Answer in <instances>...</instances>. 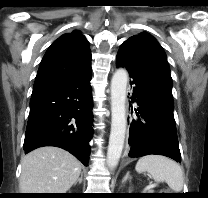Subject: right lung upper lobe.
<instances>
[{"label": "right lung upper lobe", "mask_w": 208, "mask_h": 198, "mask_svg": "<svg viewBox=\"0 0 208 198\" xmlns=\"http://www.w3.org/2000/svg\"><path fill=\"white\" fill-rule=\"evenodd\" d=\"M91 69V52L86 38L73 31L59 37L44 55L33 93L65 85Z\"/></svg>", "instance_id": "cb5924a9"}]
</instances>
